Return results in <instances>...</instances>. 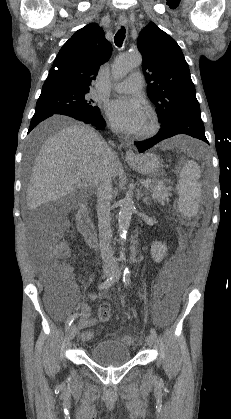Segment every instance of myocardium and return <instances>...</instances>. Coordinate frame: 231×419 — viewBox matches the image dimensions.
I'll return each instance as SVG.
<instances>
[{
  "label": "myocardium",
  "instance_id": "1",
  "mask_svg": "<svg viewBox=\"0 0 231 419\" xmlns=\"http://www.w3.org/2000/svg\"><path fill=\"white\" fill-rule=\"evenodd\" d=\"M146 117H147V126L143 130L137 133V136L139 138H148L154 135L159 129L158 117L153 111L149 110L147 112Z\"/></svg>",
  "mask_w": 231,
  "mask_h": 419
}]
</instances>
